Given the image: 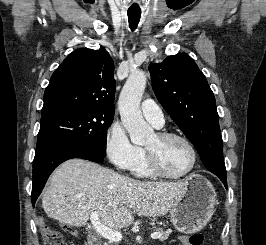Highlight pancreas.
I'll return each mask as SVG.
<instances>
[{
  "mask_svg": "<svg viewBox=\"0 0 266 245\" xmlns=\"http://www.w3.org/2000/svg\"><path fill=\"white\" fill-rule=\"evenodd\" d=\"M155 233H160L158 241H166L170 237V231H162V229H155Z\"/></svg>",
  "mask_w": 266,
  "mask_h": 245,
  "instance_id": "obj_1",
  "label": "pancreas"
}]
</instances>
